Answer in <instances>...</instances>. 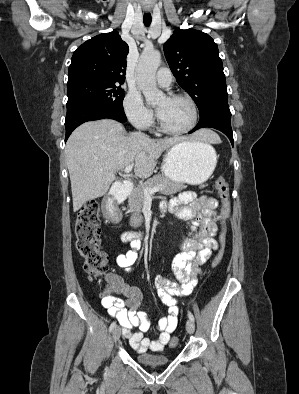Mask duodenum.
Segmentation results:
<instances>
[{"instance_id":"duodenum-1","label":"duodenum","mask_w":299,"mask_h":394,"mask_svg":"<svg viewBox=\"0 0 299 394\" xmlns=\"http://www.w3.org/2000/svg\"><path fill=\"white\" fill-rule=\"evenodd\" d=\"M124 189L127 192H130L133 189L132 184H127L124 186ZM127 193L125 191H113L110 192L104 199L103 203V211L104 215L109 220L116 219V206L118 203H121L125 200ZM140 233L137 232H126L123 234L124 241H131L136 238H140Z\"/></svg>"}]
</instances>
